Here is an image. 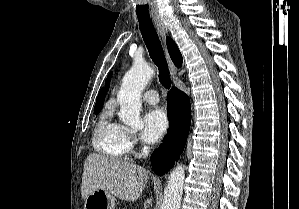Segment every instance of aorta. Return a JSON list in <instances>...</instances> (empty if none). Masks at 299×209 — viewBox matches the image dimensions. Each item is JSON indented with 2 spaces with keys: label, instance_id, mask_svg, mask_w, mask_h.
<instances>
[{
  "label": "aorta",
  "instance_id": "1",
  "mask_svg": "<svg viewBox=\"0 0 299 209\" xmlns=\"http://www.w3.org/2000/svg\"><path fill=\"white\" fill-rule=\"evenodd\" d=\"M154 75V70L146 63H135L122 80L117 99L120 103L119 118L134 129L143 127L140 118L142 104L140 95ZM185 167L177 165L170 173L164 190V201L161 209H179L183 192Z\"/></svg>",
  "mask_w": 299,
  "mask_h": 209
}]
</instances>
